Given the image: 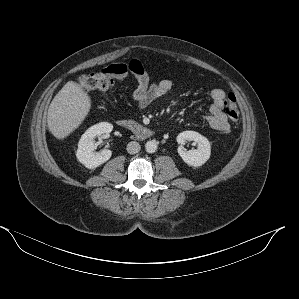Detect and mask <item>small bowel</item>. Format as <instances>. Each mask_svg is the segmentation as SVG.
Returning <instances> with one entry per match:
<instances>
[{
    "label": "small bowel",
    "instance_id": "c3829d8e",
    "mask_svg": "<svg viewBox=\"0 0 299 299\" xmlns=\"http://www.w3.org/2000/svg\"><path fill=\"white\" fill-rule=\"evenodd\" d=\"M125 67L127 73L130 71L137 81V87L132 94V100L138 108L147 107L155 100L164 96L172 88V82L167 79L151 82L147 72L138 60H132ZM225 97L226 93L222 89L216 88L210 92V113L206 117V121L217 132H225L229 129V123L224 113Z\"/></svg>",
    "mask_w": 299,
    "mask_h": 299
}]
</instances>
